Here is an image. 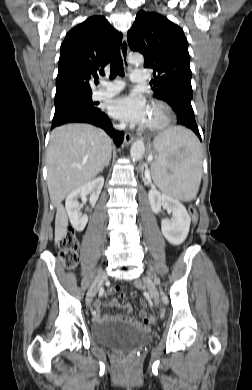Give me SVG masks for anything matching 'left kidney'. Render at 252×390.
I'll return each instance as SVG.
<instances>
[{
    "label": "left kidney",
    "instance_id": "1",
    "mask_svg": "<svg viewBox=\"0 0 252 390\" xmlns=\"http://www.w3.org/2000/svg\"><path fill=\"white\" fill-rule=\"evenodd\" d=\"M151 208L155 214H159L164 206L172 212V220H161V231L166 240L172 245H180L186 239L191 218L181 202L166 194H161L152 188L148 193Z\"/></svg>",
    "mask_w": 252,
    "mask_h": 390
}]
</instances>
